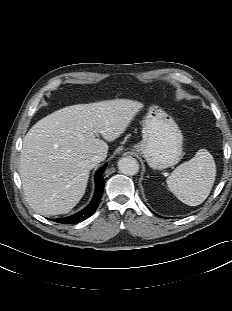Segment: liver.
I'll return each mask as SVG.
<instances>
[{
  "mask_svg": "<svg viewBox=\"0 0 232 311\" xmlns=\"http://www.w3.org/2000/svg\"><path fill=\"white\" fill-rule=\"evenodd\" d=\"M143 104L127 99L64 107L42 118L23 139L20 175L26 201L41 215L70 212L83 197L86 160L106 158L107 141L118 138Z\"/></svg>",
  "mask_w": 232,
  "mask_h": 311,
  "instance_id": "6515ba94",
  "label": "liver"
}]
</instances>
